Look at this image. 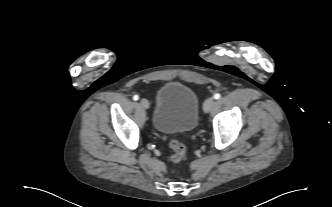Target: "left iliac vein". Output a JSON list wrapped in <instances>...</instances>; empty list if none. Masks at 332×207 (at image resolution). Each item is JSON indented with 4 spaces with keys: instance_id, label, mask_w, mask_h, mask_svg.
<instances>
[{
    "instance_id": "1",
    "label": "left iliac vein",
    "mask_w": 332,
    "mask_h": 207,
    "mask_svg": "<svg viewBox=\"0 0 332 207\" xmlns=\"http://www.w3.org/2000/svg\"><path fill=\"white\" fill-rule=\"evenodd\" d=\"M214 103H215L214 98L210 97V98L206 99L204 104H203L204 112L208 113L212 109V107L214 106Z\"/></svg>"
}]
</instances>
